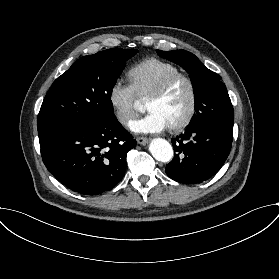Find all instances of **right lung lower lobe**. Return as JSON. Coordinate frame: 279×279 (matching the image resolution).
I'll list each match as a JSON object with an SVG mask.
<instances>
[{
	"mask_svg": "<svg viewBox=\"0 0 279 279\" xmlns=\"http://www.w3.org/2000/svg\"><path fill=\"white\" fill-rule=\"evenodd\" d=\"M39 141L48 171L70 190L91 196L121 181L126 154L136 145L117 119L49 129Z\"/></svg>",
	"mask_w": 279,
	"mask_h": 279,
	"instance_id": "98d812e1",
	"label": "right lung lower lobe"
}]
</instances>
